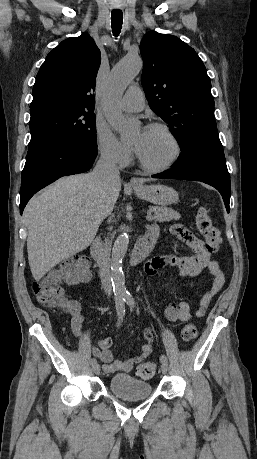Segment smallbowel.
Returning <instances> with one entry per match:
<instances>
[{"mask_svg": "<svg viewBox=\"0 0 257 459\" xmlns=\"http://www.w3.org/2000/svg\"><path fill=\"white\" fill-rule=\"evenodd\" d=\"M151 230L158 232V226L152 224L148 231ZM170 232L185 244L192 251V254L155 257L147 262L145 272L150 276H158L165 281L166 277L162 271L165 267L176 268L179 275L186 279H191L204 271H209L213 275L212 285L202 297L199 308L195 311L196 316L202 317L205 315L212 298L222 289L225 283L224 273L218 262L212 258L210 251L206 249L204 243L191 230L181 224H174L171 226ZM67 281L68 283H74L71 280ZM190 286H194L192 281H190ZM71 303L75 308V312L70 313L72 316L71 328L75 336L81 337L83 323V316L81 314L82 306L77 301H71ZM165 315L169 321L186 322L192 315L191 306L186 301H172L166 306ZM144 339L145 343L141 346V353L126 360L114 358L111 351L112 340L109 337L100 339L98 346L94 347L92 352L94 356L103 362V371L105 373L110 374L118 371L129 372L133 369L134 365L145 360L153 351L154 335L151 328L144 330Z\"/></svg>", "mask_w": 257, "mask_h": 459, "instance_id": "1", "label": "small bowel"}]
</instances>
